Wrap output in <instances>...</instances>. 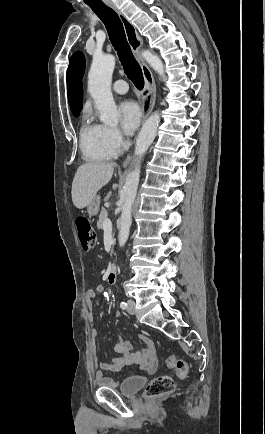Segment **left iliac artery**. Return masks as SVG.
I'll return each instance as SVG.
<instances>
[{
  "label": "left iliac artery",
  "instance_id": "obj_1",
  "mask_svg": "<svg viewBox=\"0 0 265 434\" xmlns=\"http://www.w3.org/2000/svg\"><path fill=\"white\" fill-rule=\"evenodd\" d=\"M120 307H121L122 309H126V308H127V303L124 302V301H122V302L120 303Z\"/></svg>",
  "mask_w": 265,
  "mask_h": 434
}]
</instances>
